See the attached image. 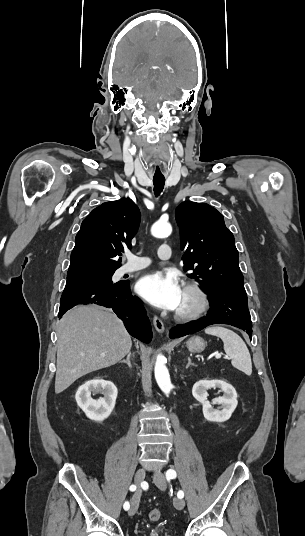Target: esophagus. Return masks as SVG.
Segmentation results:
<instances>
[{
    "instance_id": "esophagus-1",
    "label": "esophagus",
    "mask_w": 305,
    "mask_h": 536,
    "mask_svg": "<svg viewBox=\"0 0 305 536\" xmlns=\"http://www.w3.org/2000/svg\"><path fill=\"white\" fill-rule=\"evenodd\" d=\"M153 324H154L155 329L158 331V333H163L164 332V329H165L164 324H163L162 320L160 318H158V316H154Z\"/></svg>"
}]
</instances>
